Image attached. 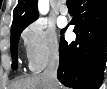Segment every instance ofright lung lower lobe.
I'll return each mask as SVG.
<instances>
[{
    "mask_svg": "<svg viewBox=\"0 0 107 89\" xmlns=\"http://www.w3.org/2000/svg\"><path fill=\"white\" fill-rule=\"evenodd\" d=\"M74 5L76 40L68 44L61 36L57 77L74 89H98L107 60V0H74Z\"/></svg>",
    "mask_w": 107,
    "mask_h": 89,
    "instance_id": "obj_1",
    "label": "right lung lower lobe"
}]
</instances>
